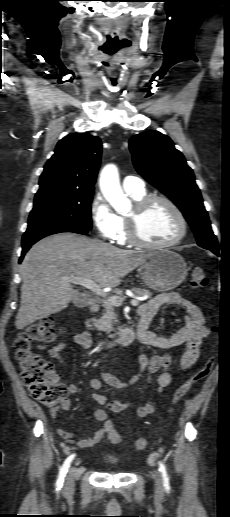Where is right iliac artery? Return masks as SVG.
<instances>
[{
    "instance_id": "obj_1",
    "label": "right iliac artery",
    "mask_w": 230,
    "mask_h": 517,
    "mask_svg": "<svg viewBox=\"0 0 230 517\" xmlns=\"http://www.w3.org/2000/svg\"><path fill=\"white\" fill-rule=\"evenodd\" d=\"M74 456H75L74 454L70 455L63 463V465L59 471V476L57 479V490H60V488L63 486V482L65 479L66 473L68 471V468L70 467V464H71Z\"/></svg>"
}]
</instances>
